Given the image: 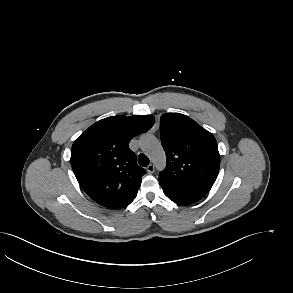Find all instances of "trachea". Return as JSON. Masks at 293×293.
Here are the masks:
<instances>
[{"label": "trachea", "instance_id": "trachea-1", "mask_svg": "<svg viewBox=\"0 0 293 293\" xmlns=\"http://www.w3.org/2000/svg\"><path fill=\"white\" fill-rule=\"evenodd\" d=\"M138 163L139 165L146 167L149 164V158L145 154H140L138 156Z\"/></svg>", "mask_w": 293, "mask_h": 293}]
</instances>
